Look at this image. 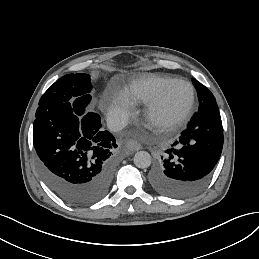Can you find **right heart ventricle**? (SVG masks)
I'll return each instance as SVG.
<instances>
[{"label":"right heart ventricle","mask_w":259,"mask_h":259,"mask_svg":"<svg viewBox=\"0 0 259 259\" xmlns=\"http://www.w3.org/2000/svg\"><path fill=\"white\" fill-rule=\"evenodd\" d=\"M152 79L150 76L144 78L142 81H138L134 86H131L125 90V93L133 99L136 105L145 103V99H151L147 94L148 82ZM156 81V80H155ZM159 83H165L164 81H157Z\"/></svg>","instance_id":"right-heart-ventricle-1"}]
</instances>
